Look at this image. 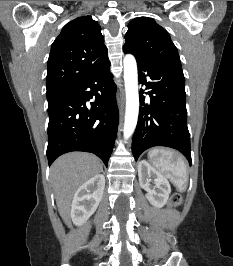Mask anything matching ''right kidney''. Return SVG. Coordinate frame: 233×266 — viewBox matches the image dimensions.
Wrapping results in <instances>:
<instances>
[{"label":"right kidney","instance_id":"ca27d5eb","mask_svg":"<svg viewBox=\"0 0 233 266\" xmlns=\"http://www.w3.org/2000/svg\"><path fill=\"white\" fill-rule=\"evenodd\" d=\"M104 187L105 177L98 174L77 189L71 205V218L75 225L84 224L96 211L102 199Z\"/></svg>","mask_w":233,"mask_h":266}]
</instances>
